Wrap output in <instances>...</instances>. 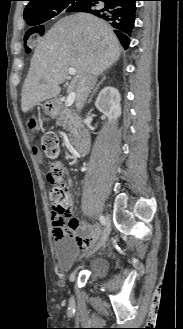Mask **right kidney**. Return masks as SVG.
Masks as SVG:
<instances>
[{
	"instance_id": "obj_1",
	"label": "right kidney",
	"mask_w": 183,
	"mask_h": 329,
	"mask_svg": "<svg viewBox=\"0 0 183 329\" xmlns=\"http://www.w3.org/2000/svg\"><path fill=\"white\" fill-rule=\"evenodd\" d=\"M121 96L119 91L111 86L102 89L96 99V108L114 122L121 116Z\"/></svg>"
}]
</instances>
